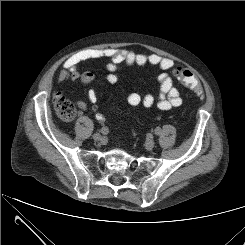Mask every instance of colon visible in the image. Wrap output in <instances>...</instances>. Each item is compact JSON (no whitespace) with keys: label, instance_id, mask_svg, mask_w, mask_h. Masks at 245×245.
<instances>
[{"label":"colon","instance_id":"1","mask_svg":"<svg viewBox=\"0 0 245 245\" xmlns=\"http://www.w3.org/2000/svg\"><path fill=\"white\" fill-rule=\"evenodd\" d=\"M173 75L186 87L192 89L199 96H203V91L196 74L187 68H175ZM54 108L57 114L66 121L73 119L77 114L75 104L62 94H55L53 98Z\"/></svg>","mask_w":245,"mask_h":245}]
</instances>
